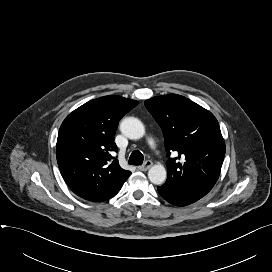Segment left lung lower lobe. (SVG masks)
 <instances>
[{
    "label": "left lung lower lobe",
    "instance_id": "1",
    "mask_svg": "<svg viewBox=\"0 0 272 272\" xmlns=\"http://www.w3.org/2000/svg\"><path fill=\"white\" fill-rule=\"evenodd\" d=\"M212 187L186 181L177 186L165 183L157 189L159 194L169 203L176 206H186L201 199Z\"/></svg>",
    "mask_w": 272,
    "mask_h": 272
}]
</instances>
